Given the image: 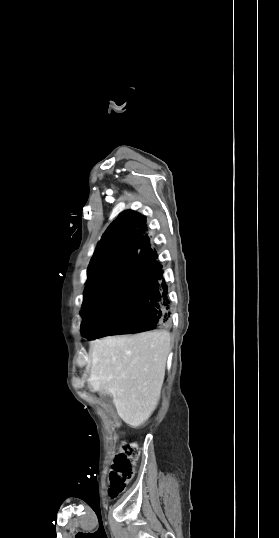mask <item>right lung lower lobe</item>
Segmentation results:
<instances>
[{"label": "right lung lower lobe", "mask_w": 279, "mask_h": 538, "mask_svg": "<svg viewBox=\"0 0 279 538\" xmlns=\"http://www.w3.org/2000/svg\"><path fill=\"white\" fill-rule=\"evenodd\" d=\"M157 258L145 216L128 210L109 225L88 267L83 337L94 340L170 327L168 287Z\"/></svg>", "instance_id": "obj_1"}]
</instances>
